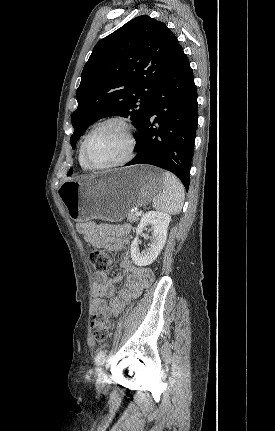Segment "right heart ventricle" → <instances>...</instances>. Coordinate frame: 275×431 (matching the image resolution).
Wrapping results in <instances>:
<instances>
[{
    "mask_svg": "<svg viewBox=\"0 0 275 431\" xmlns=\"http://www.w3.org/2000/svg\"><path fill=\"white\" fill-rule=\"evenodd\" d=\"M79 162H80V165L83 169H89V167H87V165L84 163V161L82 159L81 148H80V152H79Z\"/></svg>",
    "mask_w": 275,
    "mask_h": 431,
    "instance_id": "1",
    "label": "right heart ventricle"
}]
</instances>
